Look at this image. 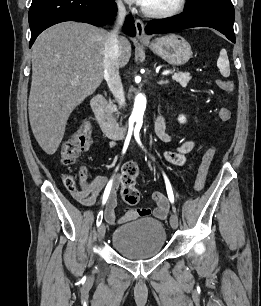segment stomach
Returning <instances> with one entry per match:
<instances>
[{"mask_svg": "<svg viewBox=\"0 0 261 306\" xmlns=\"http://www.w3.org/2000/svg\"><path fill=\"white\" fill-rule=\"evenodd\" d=\"M146 44L153 53L171 65H184L192 56L190 44L177 34L164 35Z\"/></svg>", "mask_w": 261, "mask_h": 306, "instance_id": "stomach-1", "label": "stomach"}]
</instances>
